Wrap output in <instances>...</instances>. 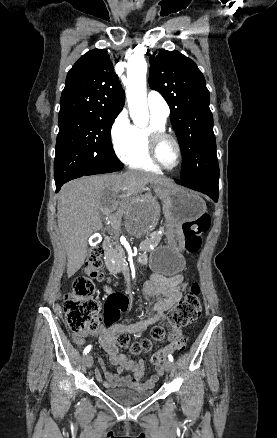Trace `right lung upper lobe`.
<instances>
[{"label": "right lung upper lobe", "instance_id": "1", "mask_svg": "<svg viewBox=\"0 0 277 438\" xmlns=\"http://www.w3.org/2000/svg\"><path fill=\"white\" fill-rule=\"evenodd\" d=\"M124 102L125 92L107 51L95 49L83 55L68 72L59 117L116 118Z\"/></svg>", "mask_w": 277, "mask_h": 438}]
</instances>
